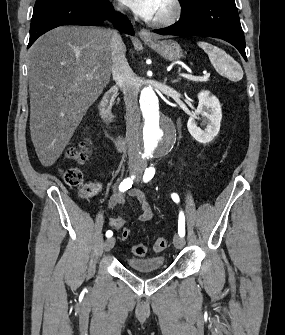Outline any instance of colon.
<instances>
[{
  "mask_svg": "<svg viewBox=\"0 0 285 335\" xmlns=\"http://www.w3.org/2000/svg\"><path fill=\"white\" fill-rule=\"evenodd\" d=\"M89 142L81 141L77 146L68 151V157L81 165L88 159ZM61 176L64 182L71 188H76L82 198L88 199L95 196L99 191V184L91 182H84V177L81 169L78 166H71L61 171ZM131 235L129 229H124L122 233V240L127 241ZM168 246V241L163 238H157L152 245L153 252H161ZM132 252L135 256L142 257L148 252V248L143 244H136L132 247Z\"/></svg>",
  "mask_w": 285,
  "mask_h": 335,
  "instance_id": "5ec220e1",
  "label": "colon"
}]
</instances>
